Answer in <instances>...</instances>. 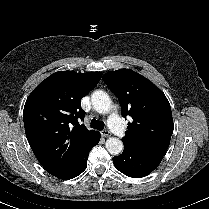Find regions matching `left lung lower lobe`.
I'll return each mask as SVG.
<instances>
[{"label":"left lung lower lobe","instance_id":"0a47b994","mask_svg":"<svg viewBox=\"0 0 209 209\" xmlns=\"http://www.w3.org/2000/svg\"><path fill=\"white\" fill-rule=\"evenodd\" d=\"M162 159V155L124 146L123 153L114 157L113 163L123 174L133 178H141L150 174Z\"/></svg>","mask_w":209,"mask_h":209}]
</instances>
